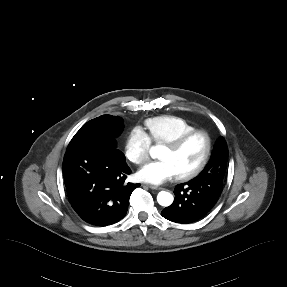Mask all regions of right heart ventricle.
Returning <instances> with one entry per match:
<instances>
[{
    "label": "right heart ventricle",
    "mask_w": 287,
    "mask_h": 287,
    "mask_svg": "<svg viewBox=\"0 0 287 287\" xmlns=\"http://www.w3.org/2000/svg\"><path fill=\"white\" fill-rule=\"evenodd\" d=\"M144 124L150 141L162 144L172 142L195 130V126L188 119L177 115H160L148 118Z\"/></svg>",
    "instance_id": "right-heart-ventricle-1"
}]
</instances>
